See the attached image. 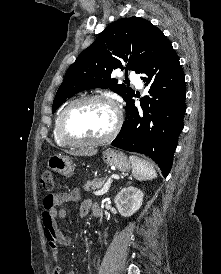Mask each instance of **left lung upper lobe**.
Segmentation results:
<instances>
[{
	"label": "left lung upper lobe",
	"instance_id": "1",
	"mask_svg": "<svg viewBox=\"0 0 221 274\" xmlns=\"http://www.w3.org/2000/svg\"><path fill=\"white\" fill-rule=\"evenodd\" d=\"M167 37L149 21L123 18L111 23L97 40L69 67L53 101L52 112L71 96L86 89L110 88L125 100L134 91L111 79L113 69L142 73L151 60L168 44Z\"/></svg>",
	"mask_w": 221,
	"mask_h": 274
}]
</instances>
